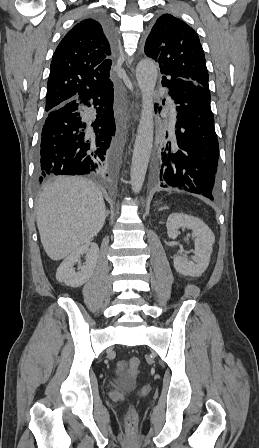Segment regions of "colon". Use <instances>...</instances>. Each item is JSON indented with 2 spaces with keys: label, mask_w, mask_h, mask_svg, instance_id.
I'll return each instance as SVG.
<instances>
[{
  "label": "colon",
  "mask_w": 259,
  "mask_h": 448,
  "mask_svg": "<svg viewBox=\"0 0 259 448\" xmlns=\"http://www.w3.org/2000/svg\"><path fill=\"white\" fill-rule=\"evenodd\" d=\"M129 369L136 371L140 367V359L138 357H131L128 362ZM136 411L134 408H130L127 413V426L130 430H134L136 425Z\"/></svg>",
  "instance_id": "5ec220e1"
}]
</instances>
